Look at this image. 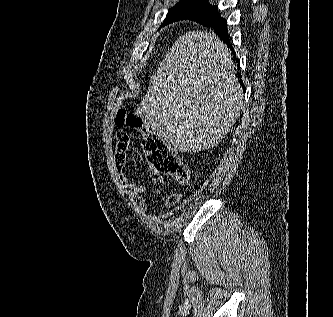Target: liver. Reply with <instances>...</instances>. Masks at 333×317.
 Returning a JSON list of instances; mask_svg holds the SVG:
<instances>
[{
    "label": "liver",
    "instance_id": "obj_1",
    "mask_svg": "<svg viewBox=\"0 0 333 317\" xmlns=\"http://www.w3.org/2000/svg\"><path fill=\"white\" fill-rule=\"evenodd\" d=\"M244 104L228 47L214 33L188 32L170 48L137 114L174 151L216 146Z\"/></svg>",
    "mask_w": 333,
    "mask_h": 317
}]
</instances>
